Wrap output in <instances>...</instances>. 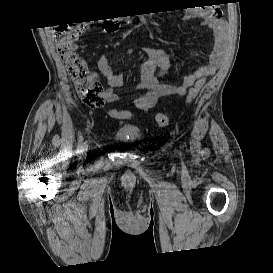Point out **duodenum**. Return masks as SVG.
<instances>
[{"instance_id":"1","label":"duodenum","mask_w":273,"mask_h":273,"mask_svg":"<svg viewBox=\"0 0 273 273\" xmlns=\"http://www.w3.org/2000/svg\"><path fill=\"white\" fill-rule=\"evenodd\" d=\"M120 28L119 23H116L114 21H108L107 24L105 25L106 31H117Z\"/></svg>"}]
</instances>
